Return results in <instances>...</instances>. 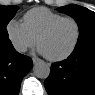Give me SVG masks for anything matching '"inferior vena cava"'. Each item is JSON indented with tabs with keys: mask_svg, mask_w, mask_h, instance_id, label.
Listing matches in <instances>:
<instances>
[{
	"mask_svg": "<svg viewBox=\"0 0 95 95\" xmlns=\"http://www.w3.org/2000/svg\"><path fill=\"white\" fill-rule=\"evenodd\" d=\"M15 49L16 51L20 52V53H23V52H26L27 51V48L24 46V45H15Z\"/></svg>",
	"mask_w": 95,
	"mask_h": 95,
	"instance_id": "1",
	"label": "inferior vena cava"
}]
</instances>
